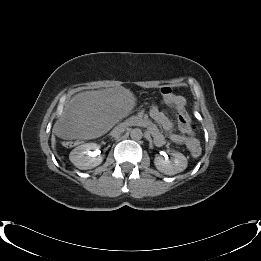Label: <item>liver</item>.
Wrapping results in <instances>:
<instances>
[{"label": "liver", "mask_w": 261, "mask_h": 261, "mask_svg": "<svg viewBox=\"0 0 261 261\" xmlns=\"http://www.w3.org/2000/svg\"><path fill=\"white\" fill-rule=\"evenodd\" d=\"M132 106V95L123 87L79 93L55 122L53 133L65 140L100 137Z\"/></svg>", "instance_id": "6515ba94"}]
</instances>
